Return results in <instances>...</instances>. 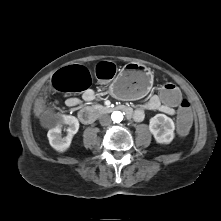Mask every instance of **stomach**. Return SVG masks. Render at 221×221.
Listing matches in <instances>:
<instances>
[{"label":"stomach","instance_id":"1","mask_svg":"<svg viewBox=\"0 0 221 221\" xmlns=\"http://www.w3.org/2000/svg\"><path fill=\"white\" fill-rule=\"evenodd\" d=\"M152 84L151 71L141 64L130 62L115 77L110 89L118 98L133 100L144 96Z\"/></svg>","mask_w":221,"mask_h":221}]
</instances>
